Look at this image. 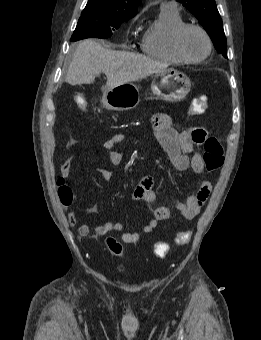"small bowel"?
<instances>
[{
	"label": "small bowel",
	"instance_id": "obj_1",
	"mask_svg": "<svg viewBox=\"0 0 261 340\" xmlns=\"http://www.w3.org/2000/svg\"><path fill=\"white\" fill-rule=\"evenodd\" d=\"M152 132L157 143L167 153L170 162L174 169L183 171L191 168L194 173L200 174L205 169L204 160L198 151V146L201 145L208 131L204 127H193L183 131L176 130L172 125V119L167 114L155 115L152 119ZM126 138L124 133H117L107 138L102 143V148L107 152L110 163L118 166L122 162V155L114 150V147ZM80 140H73L72 145H76ZM76 157L71 155L61 166V174L63 178H69L71 174V165ZM97 172L101 175L106 183H109L112 178V173L108 169L98 166ZM212 190V185L208 181H203L199 184L194 194L189 196L185 202L176 200L173 203V208L181 213L188 220L195 218L201 211L203 205L207 201ZM133 198L147 203L152 209L154 218L146 224L142 232H152L161 222L168 221L171 218V209L165 206L154 208L156 201V193L154 191V179L150 175L143 176L136 186ZM68 221L71 225H75L79 221V216L75 212H71L68 216ZM91 227L88 223H83L78 228L80 237L89 235ZM96 234L103 235L109 232H121L124 230V224L121 222L107 221L101 225L94 227ZM140 238L139 233L125 232L121 235V240L125 243H136Z\"/></svg>",
	"mask_w": 261,
	"mask_h": 340
}]
</instances>
